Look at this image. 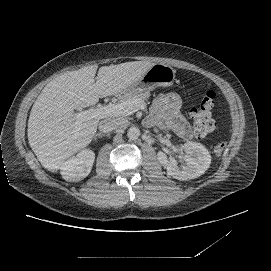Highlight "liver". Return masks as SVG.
<instances>
[{
  "label": "liver",
  "mask_w": 271,
  "mask_h": 271,
  "mask_svg": "<svg viewBox=\"0 0 271 271\" xmlns=\"http://www.w3.org/2000/svg\"><path fill=\"white\" fill-rule=\"evenodd\" d=\"M152 66L150 61L103 66L95 78L98 67L91 65L47 83L34 102L27 125L28 143L41 165L56 171L92 140L99 120L82 119L75 115V109L93 106L100 97L123 93Z\"/></svg>",
  "instance_id": "1"
}]
</instances>
